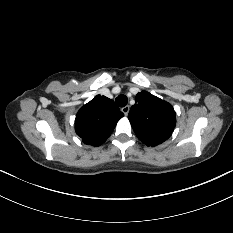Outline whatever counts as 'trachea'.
Here are the masks:
<instances>
[{"label":"trachea","mask_w":233,"mask_h":233,"mask_svg":"<svg viewBox=\"0 0 233 233\" xmlns=\"http://www.w3.org/2000/svg\"><path fill=\"white\" fill-rule=\"evenodd\" d=\"M115 102L119 107H125L128 102V98L125 95H119L115 99Z\"/></svg>","instance_id":"1"}]
</instances>
